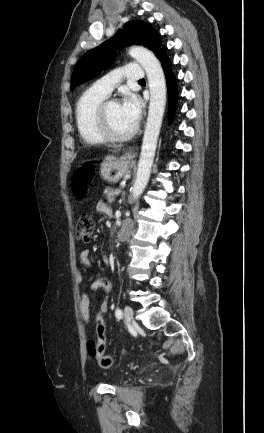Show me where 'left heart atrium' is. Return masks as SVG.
I'll return each mask as SVG.
<instances>
[{"label": "left heart atrium", "instance_id": "obj_1", "mask_svg": "<svg viewBox=\"0 0 264 433\" xmlns=\"http://www.w3.org/2000/svg\"><path fill=\"white\" fill-rule=\"evenodd\" d=\"M121 107L127 117L136 124L141 116L142 105L139 98L133 93H127L121 103Z\"/></svg>", "mask_w": 264, "mask_h": 433}]
</instances>
